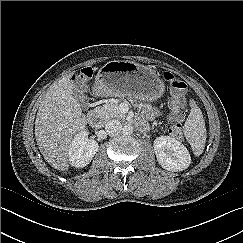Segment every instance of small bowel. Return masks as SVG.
Masks as SVG:
<instances>
[{
	"label": "small bowel",
	"instance_id": "small-bowel-1",
	"mask_svg": "<svg viewBox=\"0 0 243 243\" xmlns=\"http://www.w3.org/2000/svg\"><path fill=\"white\" fill-rule=\"evenodd\" d=\"M181 108V106H177L173 102H171L170 109L172 114L180 111ZM145 113L148 117L153 118L158 114V111L153 107H147Z\"/></svg>",
	"mask_w": 243,
	"mask_h": 243
}]
</instances>
